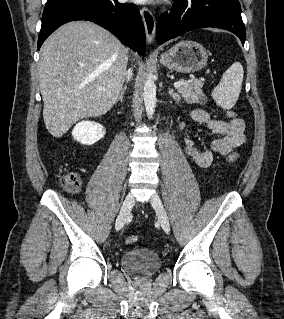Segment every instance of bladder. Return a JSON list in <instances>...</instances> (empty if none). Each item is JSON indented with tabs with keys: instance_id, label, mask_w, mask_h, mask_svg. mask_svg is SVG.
Masks as SVG:
<instances>
[{
	"instance_id": "bladder-1",
	"label": "bladder",
	"mask_w": 284,
	"mask_h": 319,
	"mask_svg": "<svg viewBox=\"0 0 284 319\" xmlns=\"http://www.w3.org/2000/svg\"><path fill=\"white\" fill-rule=\"evenodd\" d=\"M122 268L135 279H147L156 274L161 266L160 256L145 248L131 249L120 257Z\"/></svg>"
}]
</instances>
